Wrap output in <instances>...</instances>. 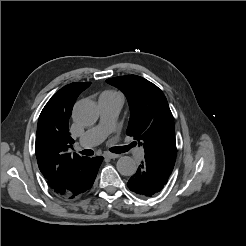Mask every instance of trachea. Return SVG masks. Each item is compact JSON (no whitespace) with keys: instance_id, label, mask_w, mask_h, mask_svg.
<instances>
[{"instance_id":"trachea-1","label":"trachea","mask_w":246,"mask_h":246,"mask_svg":"<svg viewBox=\"0 0 246 246\" xmlns=\"http://www.w3.org/2000/svg\"><path fill=\"white\" fill-rule=\"evenodd\" d=\"M129 147H115V148H111V152L113 153H123L126 152L128 150ZM82 155H87V156H91L94 154V152L91 149H85L83 151L80 152Z\"/></svg>"}]
</instances>
